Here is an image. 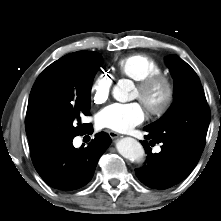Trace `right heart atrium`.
Listing matches in <instances>:
<instances>
[{
	"label": "right heart atrium",
	"instance_id": "right-heart-atrium-1",
	"mask_svg": "<svg viewBox=\"0 0 221 221\" xmlns=\"http://www.w3.org/2000/svg\"><path fill=\"white\" fill-rule=\"evenodd\" d=\"M112 79L107 73L99 74L90 86V93L92 101L95 104L105 103L111 93Z\"/></svg>",
	"mask_w": 221,
	"mask_h": 221
}]
</instances>
